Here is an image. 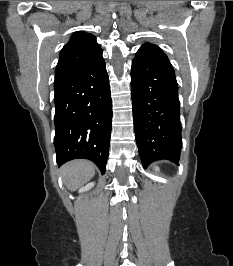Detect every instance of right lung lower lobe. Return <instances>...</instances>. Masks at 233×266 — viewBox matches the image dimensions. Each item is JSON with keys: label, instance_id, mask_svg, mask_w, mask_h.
Masks as SVG:
<instances>
[{"label": "right lung lower lobe", "instance_id": "1", "mask_svg": "<svg viewBox=\"0 0 233 266\" xmlns=\"http://www.w3.org/2000/svg\"><path fill=\"white\" fill-rule=\"evenodd\" d=\"M58 165L92 160L104 174L112 128V100L102 55L82 71L54 85Z\"/></svg>", "mask_w": 233, "mask_h": 266}]
</instances>
